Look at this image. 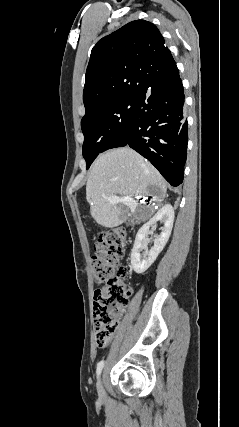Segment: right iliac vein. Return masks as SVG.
<instances>
[{"instance_id":"obj_1","label":"right iliac vein","mask_w":239,"mask_h":427,"mask_svg":"<svg viewBox=\"0 0 239 427\" xmlns=\"http://www.w3.org/2000/svg\"><path fill=\"white\" fill-rule=\"evenodd\" d=\"M97 391L100 397H103L104 395V390H103V385H102V379L99 378L97 381Z\"/></svg>"}]
</instances>
